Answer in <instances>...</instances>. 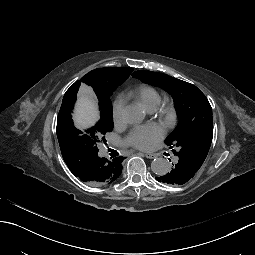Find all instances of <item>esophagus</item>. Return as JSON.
Here are the masks:
<instances>
[{
    "mask_svg": "<svg viewBox=\"0 0 255 255\" xmlns=\"http://www.w3.org/2000/svg\"><path fill=\"white\" fill-rule=\"evenodd\" d=\"M144 156H145L146 158H149V159H154V158H156V155H155V154H151V153H146V154H144Z\"/></svg>",
    "mask_w": 255,
    "mask_h": 255,
    "instance_id": "1",
    "label": "esophagus"
}]
</instances>
